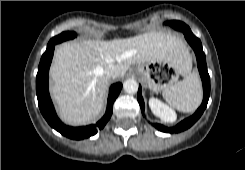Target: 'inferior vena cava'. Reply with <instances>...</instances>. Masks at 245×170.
I'll return each mask as SVG.
<instances>
[{
	"label": "inferior vena cava",
	"mask_w": 245,
	"mask_h": 170,
	"mask_svg": "<svg viewBox=\"0 0 245 170\" xmlns=\"http://www.w3.org/2000/svg\"><path fill=\"white\" fill-rule=\"evenodd\" d=\"M105 75L108 78H117L119 76V70L116 66L114 65H109L105 70H104Z\"/></svg>",
	"instance_id": "obj_1"
}]
</instances>
